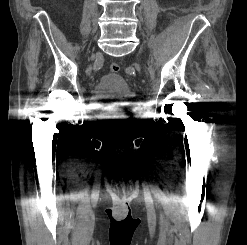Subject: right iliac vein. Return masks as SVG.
I'll return each mask as SVG.
<instances>
[{
    "label": "right iliac vein",
    "mask_w": 247,
    "mask_h": 245,
    "mask_svg": "<svg viewBox=\"0 0 247 245\" xmlns=\"http://www.w3.org/2000/svg\"><path fill=\"white\" fill-rule=\"evenodd\" d=\"M86 72H87V74H90V72H91V67H88Z\"/></svg>",
    "instance_id": "right-iliac-vein-1"
}]
</instances>
